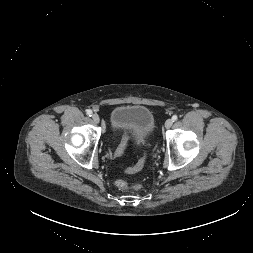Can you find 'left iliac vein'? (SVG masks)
Masks as SVG:
<instances>
[{
    "instance_id": "4c4485c4",
    "label": "left iliac vein",
    "mask_w": 253,
    "mask_h": 253,
    "mask_svg": "<svg viewBox=\"0 0 253 253\" xmlns=\"http://www.w3.org/2000/svg\"><path fill=\"white\" fill-rule=\"evenodd\" d=\"M172 124H173V120L172 119L166 120V122H165V128L166 129L171 128Z\"/></svg>"
}]
</instances>
